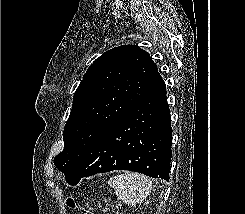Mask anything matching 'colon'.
I'll list each match as a JSON object with an SVG mask.
<instances>
[{"instance_id": "1", "label": "colon", "mask_w": 245, "mask_h": 214, "mask_svg": "<svg viewBox=\"0 0 245 214\" xmlns=\"http://www.w3.org/2000/svg\"><path fill=\"white\" fill-rule=\"evenodd\" d=\"M68 205L71 207V208H78L77 205L75 204V202L73 200H68ZM79 211L81 212V214H93L92 212L84 209V208H78ZM116 214H120V213H116Z\"/></svg>"}]
</instances>
